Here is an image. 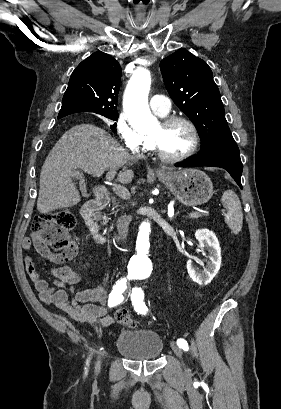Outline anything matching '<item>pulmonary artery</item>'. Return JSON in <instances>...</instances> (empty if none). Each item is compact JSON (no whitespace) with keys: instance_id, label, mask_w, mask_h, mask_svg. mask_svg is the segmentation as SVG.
<instances>
[{"instance_id":"pulmonary-artery-1","label":"pulmonary artery","mask_w":281,"mask_h":409,"mask_svg":"<svg viewBox=\"0 0 281 409\" xmlns=\"http://www.w3.org/2000/svg\"><path fill=\"white\" fill-rule=\"evenodd\" d=\"M148 104L150 105V110L154 111L158 115H165L169 111V106L171 105L170 97H150L148 99Z\"/></svg>"}]
</instances>
